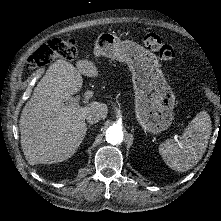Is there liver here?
I'll use <instances>...</instances> for the list:
<instances>
[{
    "instance_id": "6515ba94",
    "label": "liver",
    "mask_w": 221,
    "mask_h": 221,
    "mask_svg": "<svg viewBox=\"0 0 221 221\" xmlns=\"http://www.w3.org/2000/svg\"><path fill=\"white\" fill-rule=\"evenodd\" d=\"M97 74L93 64L81 62L78 68L65 60L51 64L24 105L20 119V141L27 162L31 165L65 160L80 145L87 126L86 115L100 112L106 118L103 103L92 102L83 108H65L70 94L83 84L82 75Z\"/></svg>"
}]
</instances>
